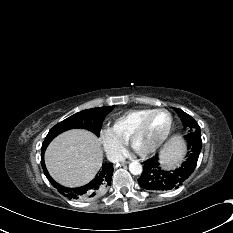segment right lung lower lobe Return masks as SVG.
Returning <instances> with one entry per match:
<instances>
[{
  "label": "right lung lower lobe",
  "instance_id": "right-lung-lower-lobe-1",
  "mask_svg": "<svg viewBox=\"0 0 233 233\" xmlns=\"http://www.w3.org/2000/svg\"><path fill=\"white\" fill-rule=\"evenodd\" d=\"M44 152L41 150V164L45 176L51 182V184L64 196L69 199H89L102 194L108 186L111 185V178L113 175V163H105L102 165L100 172L96 177L86 184L85 186L78 188H67L56 183L49 175L45 163H44Z\"/></svg>",
  "mask_w": 233,
  "mask_h": 233
}]
</instances>
